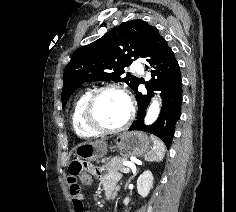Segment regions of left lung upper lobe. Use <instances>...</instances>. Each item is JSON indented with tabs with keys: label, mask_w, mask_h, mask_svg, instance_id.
<instances>
[{
	"label": "left lung upper lobe",
	"mask_w": 236,
	"mask_h": 212,
	"mask_svg": "<svg viewBox=\"0 0 236 212\" xmlns=\"http://www.w3.org/2000/svg\"><path fill=\"white\" fill-rule=\"evenodd\" d=\"M153 28L143 20H130L76 51L64 71L63 108L71 94L88 81L125 82L135 90L138 78L122 75L133 60L143 58Z\"/></svg>",
	"instance_id": "5c2ea615"
}]
</instances>
